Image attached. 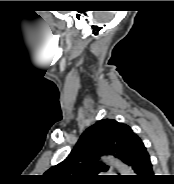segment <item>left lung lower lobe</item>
<instances>
[{
	"label": "left lung lower lobe",
	"mask_w": 174,
	"mask_h": 184,
	"mask_svg": "<svg viewBox=\"0 0 174 184\" xmlns=\"http://www.w3.org/2000/svg\"><path fill=\"white\" fill-rule=\"evenodd\" d=\"M127 164L130 165L136 173L135 176H129V179L134 183H148L153 177L150 157L141 140L133 148Z\"/></svg>",
	"instance_id": "1"
}]
</instances>
